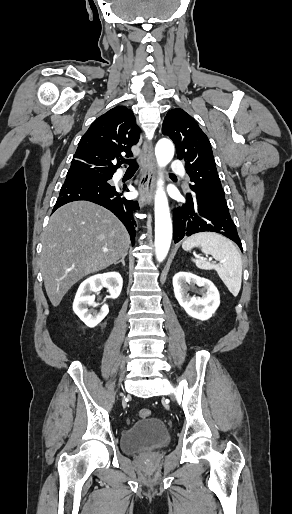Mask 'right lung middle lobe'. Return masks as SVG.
<instances>
[{
  "instance_id": "obj_1",
  "label": "right lung middle lobe",
  "mask_w": 292,
  "mask_h": 514,
  "mask_svg": "<svg viewBox=\"0 0 292 514\" xmlns=\"http://www.w3.org/2000/svg\"><path fill=\"white\" fill-rule=\"evenodd\" d=\"M112 174H102V173H84V174H68L67 177H89V178H95V179H110L112 178Z\"/></svg>"
}]
</instances>
